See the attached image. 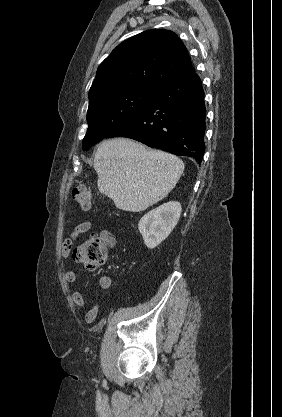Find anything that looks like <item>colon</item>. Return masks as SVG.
Masks as SVG:
<instances>
[{
	"label": "colon",
	"mask_w": 282,
	"mask_h": 417,
	"mask_svg": "<svg viewBox=\"0 0 282 417\" xmlns=\"http://www.w3.org/2000/svg\"><path fill=\"white\" fill-rule=\"evenodd\" d=\"M75 201L82 207H89L91 196L84 185H77L73 189ZM108 250L106 244L98 237H91L78 245L73 251L76 263L84 264L93 269L103 268L107 263Z\"/></svg>",
	"instance_id": "obj_1"
}]
</instances>
